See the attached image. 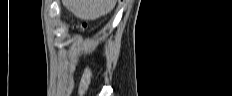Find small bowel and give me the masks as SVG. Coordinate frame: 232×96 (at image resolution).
<instances>
[{
	"instance_id": "obj_1",
	"label": "small bowel",
	"mask_w": 232,
	"mask_h": 96,
	"mask_svg": "<svg viewBox=\"0 0 232 96\" xmlns=\"http://www.w3.org/2000/svg\"><path fill=\"white\" fill-rule=\"evenodd\" d=\"M89 77H90V71L85 70L81 84H80L82 89H85L88 86Z\"/></svg>"
}]
</instances>
